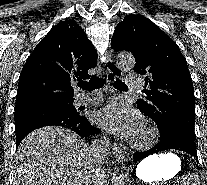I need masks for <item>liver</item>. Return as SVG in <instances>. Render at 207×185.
Listing matches in <instances>:
<instances>
[{
  "label": "liver",
  "mask_w": 207,
  "mask_h": 185,
  "mask_svg": "<svg viewBox=\"0 0 207 185\" xmlns=\"http://www.w3.org/2000/svg\"><path fill=\"white\" fill-rule=\"evenodd\" d=\"M95 159L71 129L41 127L17 149L13 185H95Z\"/></svg>",
  "instance_id": "1"
}]
</instances>
